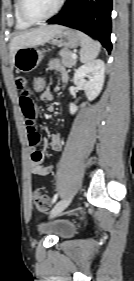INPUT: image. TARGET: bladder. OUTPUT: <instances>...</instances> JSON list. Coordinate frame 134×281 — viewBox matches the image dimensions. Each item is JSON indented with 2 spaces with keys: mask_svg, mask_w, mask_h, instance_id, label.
I'll list each match as a JSON object with an SVG mask.
<instances>
[{
  "mask_svg": "<svg viewBox=\"0 0 134 281\" xmlns=\"http://www.w3.org/2000/svg\"><path fill=\"white\" fill-rule=\"evenodd\" d=\"M38 230L42 234H49L59 238H65L74 232V224L64 220L53 222L42 221L38 225Z\"/></svg>",
  "mask_w": 134,
  "mask_h": 281,
  "instance_id": "31cf9c89",
  "label": "bladder"
}]
</instances>
